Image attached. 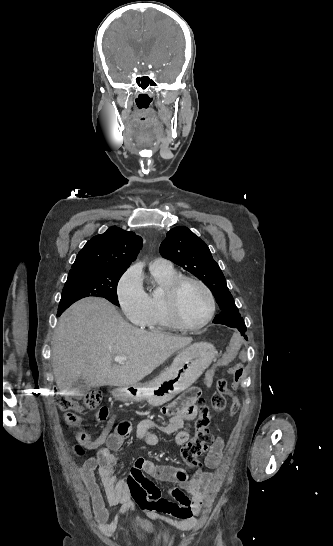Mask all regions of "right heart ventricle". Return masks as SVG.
Here are the masks:
<instances>
[{
	"label": "right heart ventricle",
	"mask_w": 333,
	"mask_h": 546,
	"mask_svg": "<svg viewBox=\"0 0 333 546\" xmlns=\"http://www.w3.org/2000/svg\"><path fill=\"white\" fill-rule=\"evenodd\" d=\"M153 282L161 289V293L149 292L147 294L149 312L143 326L150 331H172L176 327L169 321L163 306V296L171 284L179 277L174 269L150 270Z\"/></svg>",
	"instance_id": "right-heart-ventricle-1"
}]
</instances>
